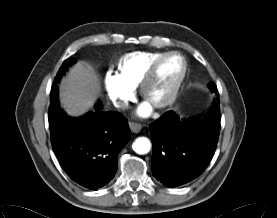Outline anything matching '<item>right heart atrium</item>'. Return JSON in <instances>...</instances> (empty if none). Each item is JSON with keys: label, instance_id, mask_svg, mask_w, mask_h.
Instances as JSON below:
<instances>
[{"label": "right heart atrium", "instance_id": "right-heart-atrium-1", "mask_svg": "<svg viewBox=\"0 0 277 218\" xmlns=\"http://www.w3.org/2000/svg\"><path fill=\"white\" fill-rule=\"evenodd\" d=\"M104 84L109 98L117 107L126 105L133 95V89L122 80L119 74L112 71L106 73Z\"/></svg>", "mask_w": 277, "mask_h": 218}]
</instances>
